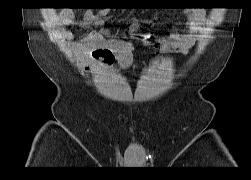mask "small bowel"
Masks as SVG:
<instances>
[{
  "label": "small bowel",
  "mask_w": 251,
  "mask_h": 180,
  "mask_svg": "<svg viewBox=\"0 0 251 180\" xmlns=\"http://www.w3.org/2000/svg\"><path fill=\"white\" fill-rule=\"evenodd\" d=\"M106 13V10H99L97 12L88 11L84 16V24L99 26L102 24ZM74 21L75 15L70 9H63L58 14L57 22L61 26H69ZM205 24V11L193 9L186 12V19L184 21L186 32H173L159 37L146 34V38H155L164 52L187 54L198 42ZM62 36L66 40L73 39V34L67 30L62 31ZM73 46L78 51H91L95 58L106 65H110L116 59L120 65L127 66L131 61L133 50L131 42L109 38V31L107 29L91 31L82 40L75 42Z\"/></svg>",
  "instance_id": "obj_1"
}]
</instances>
